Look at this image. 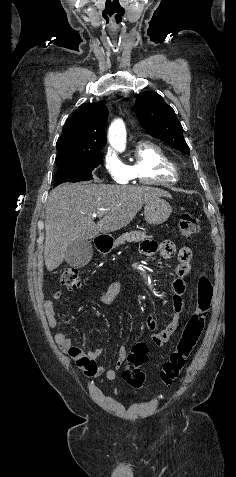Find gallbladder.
<instances>
[{
  "instance_id": "obj_1",
  "label": "gallbladder",
  "mask_w": 236,
  "mask_h": 477,
  "mask_svg": "<svg viewBox=\"0 0 236 477\" xmlns=\"http://www.w3.org/2000/svg\"><path fill=\"white\" fill-rule=\"evenodd\" d=\"M93 255L90 240L77 239L69 243L65 251V261L72 267L81 268L88 264Z\"/></svg>"
}]
</instances>
